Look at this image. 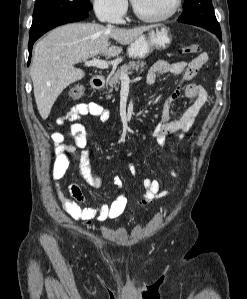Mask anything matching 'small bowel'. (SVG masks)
<instances>
[{
    "instance_id": "small-bowel-1",
    "label": "small bowel",
    "mask_w": 247,
    "mask_h": 299,
    "mask_svg": "<svg viewBox=\"0 0 247 299\" xmlns=\"http://www.w3.org/2000/svg\"><path fill=\"white\" fill-rule=\"evenodd\" d=\"M207 60L208 55L206 53H201L190 62L178 61L170 63L165 60H159L148 71L146 76L148 84H154L157 76L161 74L171 73L182 75L180 85L170 99L165 102L161 120L152 132L153 137L160 146H164L166 137L175 132H179V137L182 139L191 129L195 117L205 105L208 98L205 88L200 84L191 83V80L198 74ZM181 94L186 96L191 103L177 119H172L170 112L171 104ZM86 115L97 117L101 121H106L110 118L109 110L96 102L90 101L72 106L56 120L58 126H63L65 123L70 124V134L73 137V144H66L64 135L60 132H54L51 135L56 157L53 176L55 179H60L69 168L70 154L74 153L77 149H83L79 175L89 186L99 189L103 186V179L89 164L90 152L89 150H85L87 134L84 126L80 123L81 118ZM129 168L132 174L135 175V166L130 164ZM172 175L177 176V173L172 171ZM113 182L119 190L122 188V179L120 177H114ZM56 186V194L64 210L73 219L82 221L88 227H92L95 223H102L106 220L119 217L127 205L126 197L120 192L110 204L102 203L97 206H86L84 205L85 197L78 183L75 182L69 185L70 198L65 196L59 185ZM143 187L145 192L143 198L139 201V205L141 206H147L153 201L164 198L169 194L168 191L161 190L160 182L156 179L145 178L143 180Z\"/></svg>"
}]
</instances>
